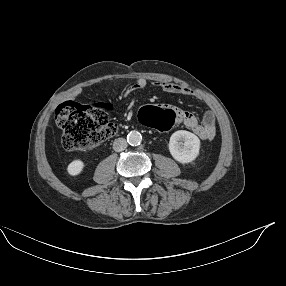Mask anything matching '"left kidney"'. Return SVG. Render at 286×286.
<instances>
[{"mask_svg":"<svg viewBox=\"0 0 286 286\" xmlns=\"http://www.w3.org/2000/svg\"><path fill=\"white\" fill-rule=\"evenodd\" d=\"M199 150V138L189 131L179 130L170 137V154L176 161L182 164L194 161L199 155Z\"/></svg>","mask_w":286,"mask_h":286,"instance_id":"left-kidney-1","label":"left kidney"}]
</instances>
